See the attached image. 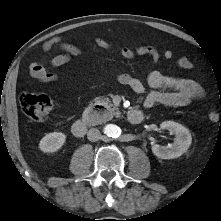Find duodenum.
Here are the masks:
<instances>
[{"label": "duodenum", "instance_id": "410a0bca", "mask_svg": "<svg viewBox=\"0 0 221 221\" xmlns=\"http://www.w3.org/2000/svg\"><path fill=\"white\" fill-rule=\"evenodd\" d=\"M127 121L131 124H139L144 119V114L140 110H131L127 113ZM87 124L83 120H77L72 125V133L75 137H84L87 132Z\"/></svg>", "mask_w": 221, "mask_h": 221}]
</instances>
